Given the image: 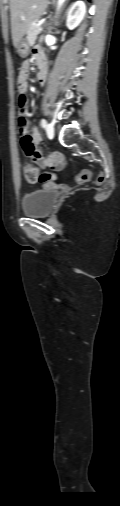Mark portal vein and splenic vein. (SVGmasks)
<instances>
[{
  "instance_id": "obj_1",
  "label": "portal vein and splenic vein",
  "mask_w": 120,
  "mask_h": 506,
  "mask_svg": "<svg viewBox=\"0 0 120 506\" xmlns=\"http://www.w3.org/2000/svg\"><path fill=\"white\" fill-rule=\"evenodd\" d=\"M44 21H45V20L40 21L38 24H36V25H37V28H39V27L43 24V22H44Z\"/></svg>"
}]
</instances>
